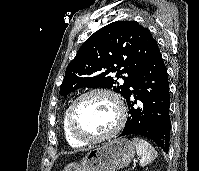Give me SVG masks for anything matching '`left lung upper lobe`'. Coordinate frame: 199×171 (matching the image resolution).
I'll return each instance as SVG.
<instances>
[{
	"instance_id": "1",
	"label": "left lung upper lobe",
	"mask_w": 199,
	"mask_h": 171,
	"mask_svg": "<svg viewBox=\"0 0 199 171\" xmlns=\"http://www.w3.org/2000/svg\"><path fill=\"white\" fill-rule=\"evenodd\" d=\"M158 44L136 21H116L92 34L66 68L60 87L63 96L82 88L113 89L125 97L129 87ZM115 78L110 76L116 72ZM126 73L127 76H123ZM122 78L123 83L118 79Z\"/></svg>"
}]
</instances>
